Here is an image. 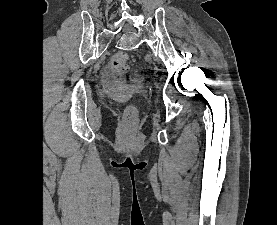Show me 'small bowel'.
<instances>
[{
	"label": "small bowel",
	"mask_w": 277,
	"mask_h": 225,
	"mask_svg": "<svg viewBox=\"0 0 277 225\" xmlns=\"http://www.w3.org/2000/svg\"><path fill=\"white\" fill-rule=\"evenodd\" d=\"M104 80H105L107 87H111L113 85L115 79L110 74H106L104 77Z\"/></svg>",
	"instance_id": "obj_1"
}]
</instances>
